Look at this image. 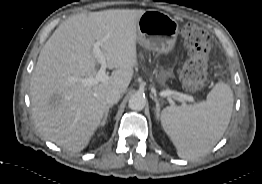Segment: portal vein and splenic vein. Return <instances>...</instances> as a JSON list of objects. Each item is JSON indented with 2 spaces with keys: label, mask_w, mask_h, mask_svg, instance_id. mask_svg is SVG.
Segmentation results:
<instances>
[{
  "label": "portal vein and splenic vein",
  "mask_w": 262,
  "mask_h": 184,
  "mask_svg": "<svg viewBox=\"0 0 262 184\" xmlns=\"http://www.w3.org/2000/svg\"><path fill=\"white\" fill-rule=\"evenodd\" d=\"M104 41L105 39L96 41L92 47V53L95 54V56L99 59L100 69L98 70L94 78H87L83 81L85 85L87 86H92L99 82H104L107 79L106 68H107V59L108 58L104 55V53L100 49ZM160 95L162 97H168V99L173 98L174 100H177V101L185 100V101L194 102L193 96H189V95L182 94V93H176L171 90H166L162 92Z\"/></svg>",
  "instance_id": "1"
}]
</instances>
